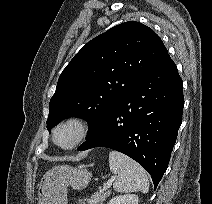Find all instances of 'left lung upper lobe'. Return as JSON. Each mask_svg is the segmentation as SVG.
<instances>
[{"mask_svg": "<svg viewBox=\"0 0 212 204\" xmlns=\"http://www.w3.org/2000/svg\"><path fill=\"white\" fill-rule=\"evenodd\" d=\"M168 54L160 37L139 22H125L85 44L61 73L50 100L48 131L77 116L95 132L106 113Z\"/></svg>", "mask_w": 212, "mask_h": 204, "instance_id": "5c2ea615", "label": "left lung upper lobe"}]
</instances>
